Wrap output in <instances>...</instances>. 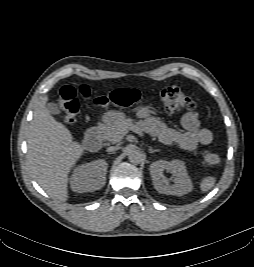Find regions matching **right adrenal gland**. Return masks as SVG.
<instances>
[{"label":"right adrenal gland","instance_id":"1","mask_svg":"<svg viewBox=\"0 0 254 267\" xmlns=\"http://www.w3.org/2000/svg\"><path fill=\"white\" fill-rule=\"evenodd\" d=\"M109 154H114V152H111V153H109Z\"/></svg>","mask_w":254,"mask_h":267}]
</instances>
